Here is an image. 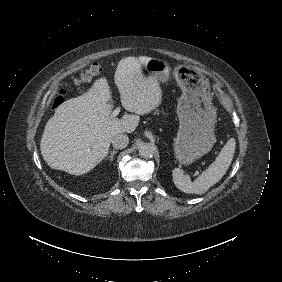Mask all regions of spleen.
Returning <instances> with one entry per match:
<instances>
[{"mask_svg": "<svg viewBox=\"0 0 282 282\" xmlns=\"http://www.w3.org/2000/svg\"><path fill=\"white\" fill-rule=\"evenodd\" d=\"M235 147V139H229L215 161L194 182L190 180L189 175H184L182 169L175 168L173 170V181L177 188L185 193L201 194L207 191L226 174L231 165Z\"/></svg>", "mask_w": 282, "mask_h": 282, "instance_id": "obj_1", "label": "spleen"}]
</instances>
